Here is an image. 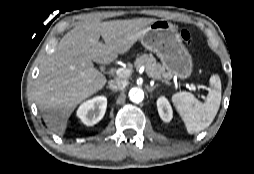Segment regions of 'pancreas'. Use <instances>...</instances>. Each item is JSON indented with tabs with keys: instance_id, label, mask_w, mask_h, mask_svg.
I'll return each instance as SVG.
<instances>
[{
	"instance_id": "1",
	"label": "pancreas",
	"mask_w": 254,
	"mask_h": 174,
	"mask_svg": "<svg viewBox=\"0 0 254 174\" xmlns=\"http://www.w3.org/2000/svg\"><path fill=\"white\" fill-rule=\"evenodd\" d=\"M134 66L136 69L144 66L147 75L153 79L169 80L172 78V75L168 73L151 54H142L141 56L137 57L134 62Z\"/></svg>"
}]
</instances>
